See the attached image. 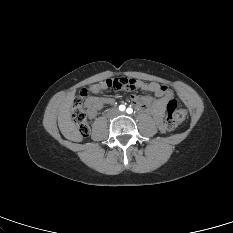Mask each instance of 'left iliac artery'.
Here are the masks:
<instances>
[{"mask_svg":"<svg viewBox=\"0 0 233 233\" xmlns=\"http://www.w3.org/2000/svg\"><path fill=\"white\" fill-rule=\"evenodd\" d=\"M126 112H127L128 114H131V113L133 112V109H132V108H127Z\"/></svg>","mask_w":233,"mask_h":233,"instance_id":"obj_1","label":"left iliac artery"}]
</instances>
